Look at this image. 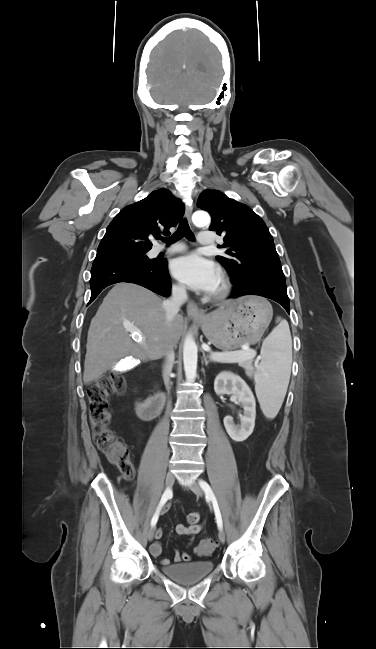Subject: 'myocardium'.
<instances>
[{
  "mask_svg": "<svg viewBox=\"0 0 376 649\" xmlns=\"http://www.w3.org/2000/svg\"><path fill=\"white\" fill-rule=\"evenodd\" d=\"M230 281L228 277L222 273L220 275V280L217 288L211 294V298L215 301H219L227 297L230 292Z\"/></svg>",
  "mask_w": 376,
  "mask_h": 649,
  "instance_id": "1",
  "label": "myocardium"
}]
</instances>
